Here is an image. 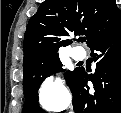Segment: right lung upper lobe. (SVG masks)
I'll return each mask as SVG.
<instances>
[{"mask_svg":"<svg viewBox=\"0 0 121 113\" xmlns=\"http://www.w3.org/2000/svg\"><path fill=\"white\" fill-rule=\"evenodd\" d=\"M121 27L115 0H45L33 15L24 38L23 69L72 43L70 34H84L87 46Z\"/></svg>","mask_w":121,"mask_h":113,"instance_id":"cb5924a9","label":"right lung upper lobe"}]
</instances>
